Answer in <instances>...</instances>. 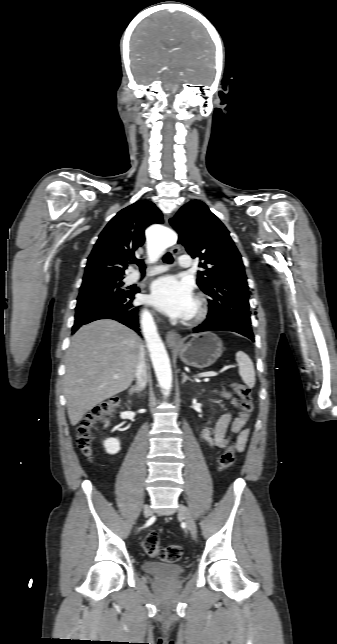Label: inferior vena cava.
<instances>
[{"label":"inferior vena cava","instance_id":"inferior-vena-cava-1","mask_svg":"<svg viewBox=\"0 0 337 644\" xmlns=\"http://www.w3.org/2000/svg\"><path fill=\"white\" fill-rule=\"evenodd\" d=\"M144 349L139 354L135 377L138 385L143 389L147 384V365L145 362Z\"/></svg>","mask_w":337,"mask_h":644}]
</instances>
